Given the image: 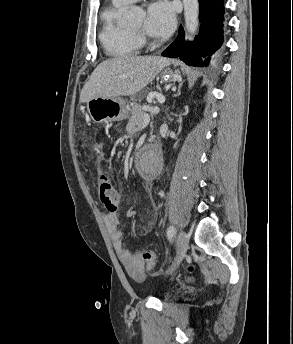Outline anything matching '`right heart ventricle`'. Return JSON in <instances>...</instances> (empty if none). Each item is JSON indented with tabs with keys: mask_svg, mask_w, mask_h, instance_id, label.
Returning a JSON list of instances; mask_svg holds the SVG:
<instances>
[{
	"mask_svg": "<svg viewBox=\"0 0 293 344\" xmlns=\"http://www.w3.org/2000/svg\"><path fill=\"white\" fill-rule=\"evenodd\" d=\"M126 5L112 0L101 12L99 39L106 54L112 57H134L141 50L139 38L119 22Z\"/></svg>",
	"mask_w": 293,
	"mask_h": 344,
	"instance_id": "obj_1",
	"label": "right heart ventricle"
}]
</instances>
